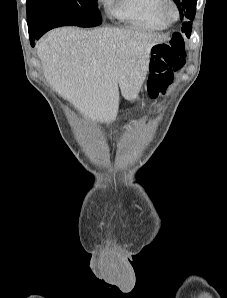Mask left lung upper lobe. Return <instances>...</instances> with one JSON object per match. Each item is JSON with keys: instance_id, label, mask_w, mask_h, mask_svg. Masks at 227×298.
Here are the masks:
<instances>
[{"instance_id": "1", "label": "left lung upper lobe", "mask_w": 227, "mask_h": 298, "mask_svg": "<svg viewBox=\"0 0 227 298\" xmlns=\"http://www.w3.org/2000/svg\"><path fill=\"white\" fill-rule=\"evenodd\" d=\"M174 2L176 3L180 11L181 19L188 18L191 20L183 22L181 28V31L184 32L186 36L189 38L192 29V20L195 16L197 0H174Z\"/></svg>"}]
</instances>
